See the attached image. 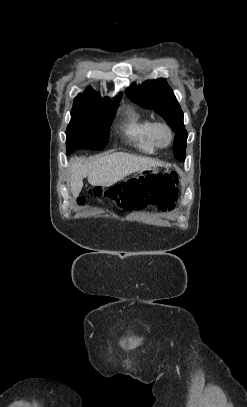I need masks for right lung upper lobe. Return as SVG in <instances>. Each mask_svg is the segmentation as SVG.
Segmentation results:
<instances>
[{"instance_id": "obj_1", "label": "right lung upper lobe", "mask_w": 247, "mask_h": 407, "mask_svg": "<svg viewBox=\"0 0 247 407\" xmlns=\"http://www.w3.org/2000/svg\"><path fill=\"white\" fill-rule=\"evenodd\" d=\"M121 95L116 96L113 100L114 102L120 101ZM113 103L109 97H106L104 100L101 99L98 95H96L95 91L89 89L88 92H85L83 95L79 94L74 99L73 106H88V105H95V104H109Z\"/></svg>"}]
</instances>
